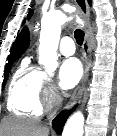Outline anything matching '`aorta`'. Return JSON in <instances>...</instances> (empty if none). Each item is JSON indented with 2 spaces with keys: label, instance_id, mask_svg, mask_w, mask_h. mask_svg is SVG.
<instances>
[{
  "label": "aorta",
  "instance_id": "762f6f07",
  "mask_svg": "<svg viewBox=\"0 0 117 136\" xmlns=\"http://www.w3.org/2000/svg\"><path fill=\"white\" fill-rule=\"evenodd\" d=\"M63 12L55 10L47 13L41 20L39 63L49 72L57 67V49L61 34V26L68 20ZM84 115L77 111L67 120L62 136H83Z\"/></svg>",
  "mask_w": 117,
  "mask_h": 136
}]
</instances>
